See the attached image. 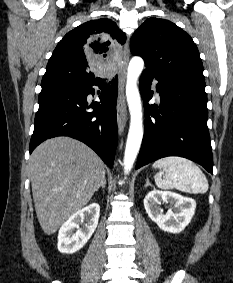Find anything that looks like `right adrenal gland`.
<instances>
[{"instance_id": "right-adrenal-gland-1", "label": "right adrenal gland", "mask_w": 233, "mask_h": 283, "mask_svg": "<svg viewBox=\"0 0 233 283\" xmlns=\"http://www.w3.org/2000/svg\"><path fill=\"white\" fill-rule=\"evenodd\" d=\"M105 186H106V179H105V176H104L103 179H102V181H101V183H100V185L98 186L97 190H98L100 187H102V189H104Z\"/></svg>"}]
</instances>
